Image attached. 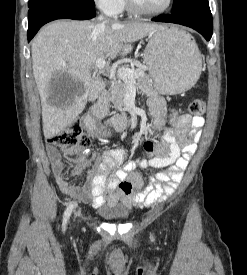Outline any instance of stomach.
<instances>
[{
  "mask_svg": "<svg viewBox=\"0 0 247 275\" xmlns=\"http://www.w3.org/2000/svg\"><path fill=\"white\" fill-rule=\"evenodd\" d=\"M176 28L164 27L151 34L144 51L155 89L163 95H176L190 89L198 80L202 58L191 37Z\"/></svg>",
  "mask_w": 247,
  "mask_h": 275,
  "instance_id": "stomach-1",
  "label": "stomach"
}]
</instances>
